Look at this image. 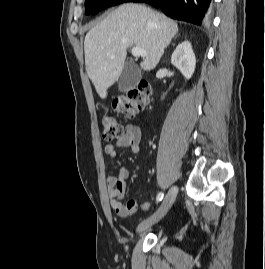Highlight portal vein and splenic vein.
<instances>
[{
  "mask_svg": "<svg viewBox=\"0 0 265 269\" xmlns=\"http://www.w3.org/2000/svg\"><path fill=\"white\" fill-rule=\"evenodd\" d=\"M131 52L135 57H147V52L140 47H133Z\"/></svg>",
  "mask_w": 265,
  "mask_h": 269,
  "instance_id": "portal-vein-and-splenic-vein-1",
  "label": "portal vein and splenic vein"
}]
</instances>
